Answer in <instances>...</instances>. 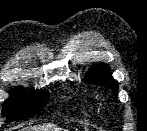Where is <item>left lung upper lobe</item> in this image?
<instances>
[{
  "mask_svg": "<svg viewBox=\"0 0 147 131\" xmlns=\"http://www.w3.org/2000/svg\"><path fill=\"white\" fill-rule=\"evenodd\" d=\"M84 81L91 84L109 87L117 96L118 83L111 77L110 67L106 64L96 65V67H93L89 74L84 78Z\"/></svg>",
  "mask_w": 147,
  "mask_h": 131,
  "instance_id": "left-lung-upper-lobe-1",
  "label": "left lung upper lobe"
}]
</instances>
